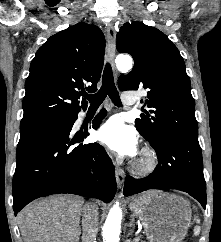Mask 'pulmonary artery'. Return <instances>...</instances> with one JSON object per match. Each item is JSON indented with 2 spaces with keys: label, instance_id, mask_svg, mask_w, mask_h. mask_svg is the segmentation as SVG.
Here are the masks:
<instances>
[{
  "label": "pulmonary artery",
  "instance_id": "1",
  "mask_svg": "<svg viewBox=\"0 0 221 242\" xmlns=\"http://www.w3.org/2000/svg\"><path fill=\"white\" fill-rule=\"evenodd\" d=\"M122 100L127 105H134L136 103L132 92L123 93Z\"/></svg>",
  "mask_w": 221,
  "mask_h": 242
}]
</instances>
